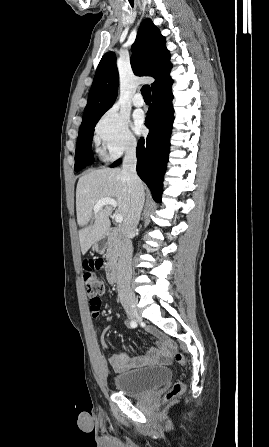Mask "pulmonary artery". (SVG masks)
I'll return each instance as SVG.
<instances>
[{"instance_id":"1","label":"pulmonary artery","mask_w":269,"mask_h":447,"mask_svg":"<svg viewBox=\"0 0 269 447\" xmlns=\"http://www.w3.org/2000/svg\"><path fill=\"white\" fill-rule=\"evenodd\" d=\"M133 104L136 107H142L144 105V99L143 96L139 93L135 94L133 97Z\"/></svg>"}]
</instances>
